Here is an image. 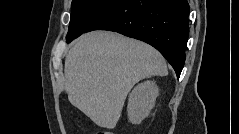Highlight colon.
I'll list each match as a JSON object with an SVG mask.
<instances>
[{"mask_svg": "<svg viewBox=\"0 0 239 134\" xmlns=\"http://www.w3.org/2000/svg\"><path fill=\"white\" fill-rule=\"evenodd\" d=\"M98 134H110L109 132H99Z\"/></svg>", "mask_w": 239, "mask_h": 134, "instance_id": "colon-1", "label": "colon"}]
</instances>
